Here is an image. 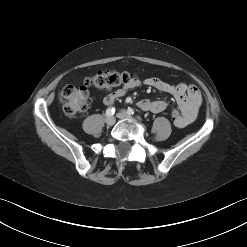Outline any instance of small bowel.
I'll use <instances>...</instances> for the list:
<instances>
[{"label": "small bowel", "instance_id": "1", "mask_svg": "<svg viewBox=\"0 0 247 247\" xmlns=\"http://www.w3.org/2000/svg\"><path fill=\"white\" fill-rule=\"evenodd\" d=\"M140 84L138 79H134L122 88L105 95L103 97L104 104L112 105L118 98L124 96L129 90L138 87ZM143 84L168 93L175 98L181 110L180 118L174 122L176 127L184 128L196 119L198 108L202 104V96L197 87L186 83L171 84L157 77L146 78ZM137 105L141 110L153 113L163 112L167 108V103L164 100L142 99L138 101Z\"/></svg>", "mask_w": 247, "mask_h": 247}]
</instances>
